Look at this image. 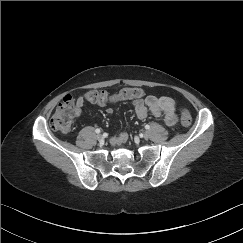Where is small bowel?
<instances>
[{"instance_id": "c3829d8e", "label": "small bowel", "mask_w": 243, "mask_h": 243, "mask_svg": "<svg viewBox=\"0 0 243 243\" xmlns=\"http://www.w3.org/2000/svg\"><path fill=\"white\" fill-rule=\"evenodd\" d=\"M136 115L139 119H144L148 114L153 117H161L162 121L167 126H173L177 122V114L175 111V102L167 96L156 97L147 95L140 99H132ZM85 100L84 97H78L76 100V115H80ZM109 103V102H108ZM108 103H97L102 107H106ZM108 114L113 113V109H106ZM128 140L127 133H120L114 136L115 144H123Z\"/></svg>"}]
</instances>
